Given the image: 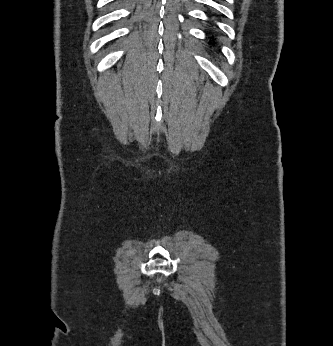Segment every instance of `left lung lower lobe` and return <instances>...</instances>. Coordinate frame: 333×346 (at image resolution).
Instances as JSON below:
<instances>
[{"mask_svg":"<svg viewBox=\"0 0 333 346\" xmlns=\"http://www.w3.org/2000/svg\"><path fill=\"white\" fill-rule=\"evenodd\" d=\"M210 32H211V34H212L213 30H210ZM211 38H213V35L211 36ZM210 46H211V47H214V46H215V43H211Z\"/></svg>","mask_w":333,"mask_h":346,"instance_id":"1","label":"left lung lower lobe"}]
</instances>
